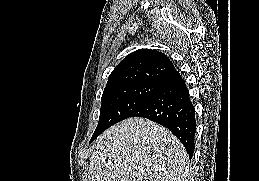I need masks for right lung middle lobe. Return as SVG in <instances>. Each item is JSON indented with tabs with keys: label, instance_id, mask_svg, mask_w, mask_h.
<instances>
[{
	"label": "right lung middle lobe",
	"instance_id": "dd1d6c3e",
	"mask_svg": "<svg viewBox=\"0 0 259 181\" xmlns=\"http://www.w3.org/2000/svg\"><path fill=\"white\" fill-rule=\"evenodd\" d=\"M157 88L158 84L140 83L104 90L99 122L92 138L121 120L132 117Z\"/></svg>",
	"mask_w": 259,
	"mask_h": 181
}]
</instances>
